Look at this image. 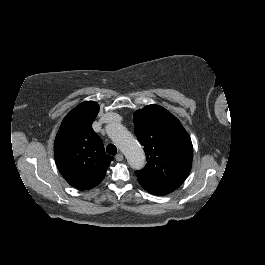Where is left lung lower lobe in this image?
Here are the masks:
<instances>
[{
	"instance_id": "left-lung-lower-lobe-1",
	"label": "left lung lower lobe",
	"mask_w": 265,
	"mask_h": 265,
	"mask_svg": "<svg viewBox=\"0 0 265 265\" xmlns=\"http://www.w3.org/2000/svg\"><path fill=\"white\" fill-rule=\"evenodd\" d=\"M141 186L146 191H148L149 193L154 194V195H166V194H169L170 192H172V191H169V190L160 189V188H156V187H152V186H148V185H144V184H141Z\"/></svg>"
}]
</instances>
